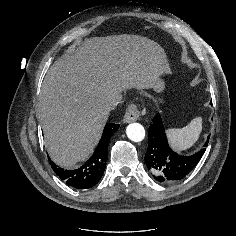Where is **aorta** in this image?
<instances>
[{
  "mask_svg": "<svg viewBox=\"0 0 236 236\" xmlns=\"http://www.w3.org/2000/svg\"><path fill=\"white\" fill-rule=\"evenodd\" d=\"M127 137L134 142H140L145 137V129L139 123H131L126 128Z\"/></svg>",
  "mask_w": 236,
  "mask_h": 236,
  "instance_id": "762f6f07",
  "label": "aorta"
}]
</instances>
